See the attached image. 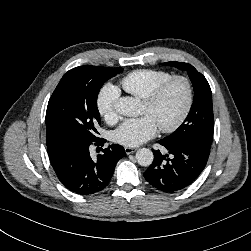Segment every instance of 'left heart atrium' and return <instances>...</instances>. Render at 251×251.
Masks as SVG:
<instances>
[{"label":"left heart atrium","mask_w":251,"mask_h":251,"mask_svg":"<svg viewBox=\"0 0 251 251\" xmlns=\"http://www.w3.org/2000/svg\"><path fill=\"white\" fill-rule=\"evenodd\" d=\"M157 124L145 114L139 118L127 119L114 133V140L126 147H136L155 136Z\"/></svg>","instance_id":"obj_1"}]
</instances>
